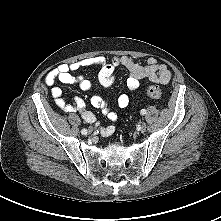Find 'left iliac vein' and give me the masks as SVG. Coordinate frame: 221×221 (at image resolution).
Returning a JSON list of instances; mask_svg holds the SVG:
<instances>
[{
  "label": "left iliac vein",
  "instance_id": "1",
  "mask_svg": "<svg viewBox=\"0 0 221 221\" xmlns=\"http://www.w3.org/2000/svg\"><path fill=\"white\" fill-rule=\"evenodd\" d=\"M146 127H147L146 123H145V122H142V123H141V126H140V130H141L142 132H144V131L146 130Z\"/></svg>",
  "mask_w": 221,
  "mask_h": 221
}]
</instances>
